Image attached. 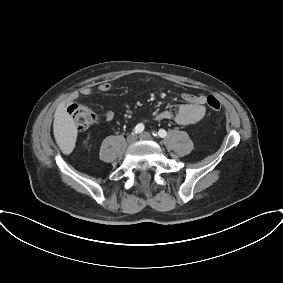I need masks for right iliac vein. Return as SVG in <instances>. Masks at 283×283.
<instances>
[{
  "mask_svg": "<svg viewBox=\"0 0 283 283\" xmlns=\"http://www.w3.org/2000/svg\"><path fill=\"white\" fill-rule=\"evenodd\" d=\"M137 139V136L135 134H130L128 137H127V142L129 144H132L136 141Z\"/></svg>",
  "mask_w": 283,
  "mask_h": 283,
  "instance_id": "63e3f726",
  "label": "right iliac vein"
}]
</instances>
